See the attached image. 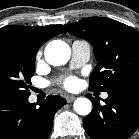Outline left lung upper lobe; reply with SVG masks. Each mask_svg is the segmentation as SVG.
<instances>
[{
	"label": "left lung upper lobe",
	"mask_w": 139,
	"mask_h": 139,
	"mask_svg": "<svg viewBox=\"0 0 139 139\" xmlns=\"http://www.w3.org/2000/svg\"><path fill=\"white\" fill-rule=\"evenodd\" d=\"M94 47L98 62L90 76L89 90L109 92L139 78V32L121 22L90 17L62 26Z\"/></svg>",
	"instance_id": "5c2ea615"
}]
</instances>
